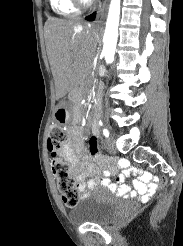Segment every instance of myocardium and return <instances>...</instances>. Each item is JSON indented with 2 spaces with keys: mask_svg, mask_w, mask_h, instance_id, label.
<instances>
[{
  "mask_svg": "<svg viewBox=\"0 0 183 246\" xmlns=\"http://www.w3.org/2000/svg\"><path fill=\"white\" fill-rule=\"evenodd\" d=\"M79 9H84L89 6V0H73Z\"/></svg>",
  "mask_w": 183,
  "mask_h": 246,
  "instance_id": "1",
  "label": "myocardium"
}]
</instances>
